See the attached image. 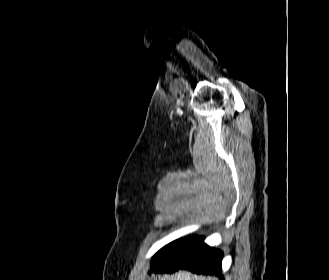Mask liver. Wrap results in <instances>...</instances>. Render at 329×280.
Listing matches in <instances>:
<instances>
[{
    "label": "liver",
    "mask_w": 329,
    "mask_h": 280,
    "mask_svg": "<svg viewBox=\"0 0 329 280\" xmlns=\"http://www.w3.org/2000/svg\"><path fill=\"white\" fill-rule=\"evenodd\" d=\"M158 280H216L212 277L204 278V277H198L196 275H192L188 271H179L178 273L174 275H160L158 276Z\"/></svg>",
    "instance_id": "1"
}]
</instances>
